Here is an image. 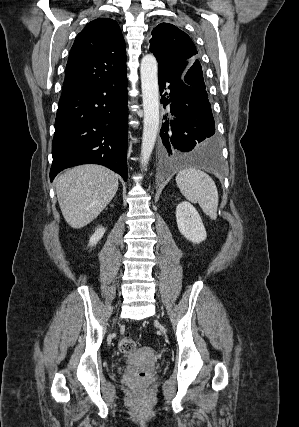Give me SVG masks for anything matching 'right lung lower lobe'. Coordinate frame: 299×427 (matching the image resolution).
I'll return each instance as SVG.
<instances>
[{"instance_id":"1","label":"right lung lower lobe","mask_w":299,"mask_h":427,"mask_svg":"<svg viewBox=\"0 0 299 427\" xmlns=\"http://www.w3.org/2000/svg\"><path fill=\"white\" fill-rule=\"evenodd\" d=\"M127 72L62 94L52 142L50 180L65 168L101 164L127 180Z\"/></svg>"}]
</instances>
